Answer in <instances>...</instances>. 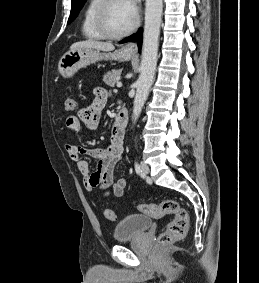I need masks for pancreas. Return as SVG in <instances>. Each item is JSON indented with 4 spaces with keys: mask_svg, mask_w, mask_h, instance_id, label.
I'll return each instance as SVG.
<instances>
[{
    "mask_svg": "<svg viewBox=\"0 0 259 283\" xmlns=\"http://www.w3.org/2000/svg\"><path fill=\"white\" fill-rule=\"evenodd\" d=\"M121 75V70L118 69H114L112 71H108L104 77H103V81L109 85L110 87H114L115 83L118 82V79Z\"/></svg>",
    "mask_w": 259,
    "mask_h": 283,
    "instance_id": "cf45deb5",
    "label": "pancreas"
}]
</instances>
